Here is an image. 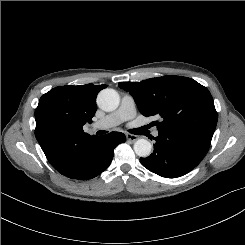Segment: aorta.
I'll return each mask as SVG.
<instances>
[{"mask_svg": "<svg viewBox=\"0 0 245 245\" xmlns=\"http://www.w3.org/2000/svg\"><path fill=\"white\" fill-rule=\"evenodd\" d=\"M99 107L104 111H114L120 103L119 94L111 88L100 91L97 97ZM152 145L146 139H138L134 143V151L140 157H147L151 154Z\"/></svg>", "mask_w": 245, "mask_h": 245, "instance_id": "obj_1", "label": "aorta"}]
</instances>
